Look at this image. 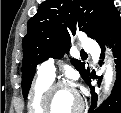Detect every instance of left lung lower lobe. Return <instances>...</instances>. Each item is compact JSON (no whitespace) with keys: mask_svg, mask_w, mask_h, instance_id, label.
Segmentation results:
<instances>
[{"mask_svg":"<svg viewBox=\"0 0 121 113\" xmlns=\"http://www.w3.org/2000/svg\"><path fill=\"white\" fill-rule=\"evenodd\" d=\"M109 42L110 46L113 48L114 57L116 58V81L111 92L110 97L101 105V107H96L97 94L95 89L91 86V79L95 78L92 75L89 76L88 81L86 82L91 89L92 99L91 107L89 113H121V18L120 16L116 20L114 26L112 27L108 36L99 42L98 44L101 47L102 55L101 58H104L105 45L104 42ZM101 80V79H100Z\"/></svg>","mask_w":121,"mask_h":113,"instance_id":"0a47b994","label":"left lung lower lobe"}]
</instances>
